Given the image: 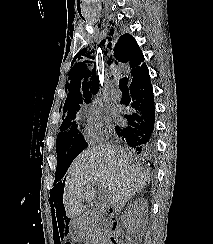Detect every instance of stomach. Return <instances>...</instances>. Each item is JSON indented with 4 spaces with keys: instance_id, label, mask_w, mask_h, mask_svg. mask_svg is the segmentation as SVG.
<instances>
[{
    "instance_id": "0dacf381",
    "label": "stomach",
    "mask_w": 213,
    "mask_h": 244,
    "mask_svg": "<svg viewBox=\"0 0 213 244\" xmlns=\"http://www.w3.org/2000/svg\"><path fill=\"white\" fill-rule=\"evenodd\" d=\"M71 235L77 240H83L86 237L84 221H73L71 224Z\"/></svg>"
}]
</instances>
